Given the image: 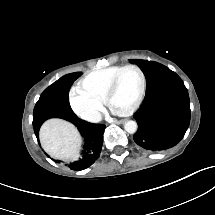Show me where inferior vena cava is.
Here are the masks:
<instances>
[{
  "label": "inferior vena cava",
  "mask_w": 215,
  "mask_h": 215,
  "mask_svg": "<svg viewBox=\"0 0 215 215\" xmlns=\"http://www.w3.org/2000/svg\"><path fill=\"white\" fill-rule=\"evenodd\" d=\"M82 119L87 120L89 122H100L102 120V115L98 111H86L81 115Z\"/></svg>",
  "instance_id": "1"
}]
</instances>
